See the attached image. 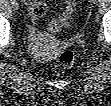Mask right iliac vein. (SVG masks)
<instances>
[{"label":"right iliac vein","mask_w":111,"mask_h":106,"mask_svg":"<svg viewBox=\"0 0 111 106\" xmlns=\"http://www.w3.org/2000/svg\"><path fill=\"white\" fill-rule=\"evenodd\" d=\"M11 5H12V8L14 10H18L19 9V4L16 1H14L13 3H11Z\"/></svg>","instance_id":"obj_1"}]
</instances>
